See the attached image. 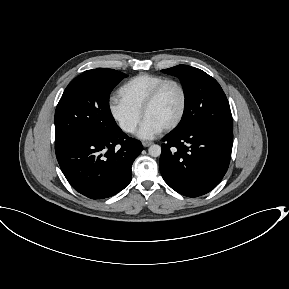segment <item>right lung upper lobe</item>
<instances>
[{
    "instance_id": "cb5924a9",
    "label": "right lung upper lobe",
    "mask_w": 289,
    "mask_h": 289,
    "mask_svg": "<svg viewBox=\"0 0 289 289\" xmlns=\"http://www.w3.org/2000/svg\"><path fill=\"white\" fill-rule=\"evenodd\" d=\"M101 69H104V68H97L96 70H101Z\"/></svg>"
}]
</instances>
